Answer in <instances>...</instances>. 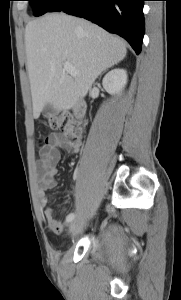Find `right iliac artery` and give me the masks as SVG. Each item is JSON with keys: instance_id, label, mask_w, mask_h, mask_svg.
Segmentation results:
<instances>
[{"instance_id": "obj_1", "label": "right iliac artery", "mask_w": 181, "mask_h": 300, "mask_svg": "<svg viewBox=\"0 0 181 300\" xmlns=\"http://www.w3.org/2000/svg\"><path fill=\"white\" fill-rule=\"evenodd\" d=\"M74 218H75V214H74V213H70V214L66 217V222L69 223V222H71Z\"/></svg>"}]
</instances>
